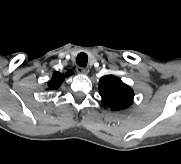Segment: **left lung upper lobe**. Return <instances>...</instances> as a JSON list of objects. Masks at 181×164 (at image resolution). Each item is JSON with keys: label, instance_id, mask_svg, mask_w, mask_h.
Returning a JSON list of instances; mask_svg holds the SVG:
<instances>
[{"label": "left lung upper lobe", "instance_id": "obj_1", "mask_svg": "<svg viewBox=\"0 0 181 164\" xmlns=\"http://www.w3.org/2000/svg\"><path fill=\"white\" fill-rule=\"evenodd\" d=\"M99 94L102 103L114 111L128 108L133 101V90L113 75H106L99 80Z\"/></svg>", "mask_w": 181, "mask_h": 164}]
</instances>
